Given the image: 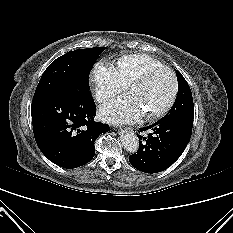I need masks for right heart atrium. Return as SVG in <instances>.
<instances>
[{
  "label": "right heart atrium",
  "instance_id": "right-heart-atrium-1",
  "mask_svg": "<svg viewBox=\"0 0 233 233\" xmlns=\"http://www.w3.org/2000/svg\"><path fill=\"white\" fill-rule=\"evenodd\" d=\"M96 99L104 103L124 91L127 85L121 79L117 69L110 63L100 61L92 71Z\"/></svg>",
  "mask_w": 233,
  "mask_h": 233
}]
</instances>
